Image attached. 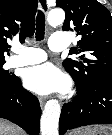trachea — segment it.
I'll return each mask as SVG.
<instances>
[{
  "label": "trachea",
  "mask_w": 112,
  "mask_h": 135,
  "mask_svg": "<svg viewBox=\"0 0 112 135\" xmlns=\"http://www.w3.org/2000/svg\"><path fill=\"white\" fill-rule=\"evenodd\" d=\"M45 34V17L42 11L38 12L36 18V41H42Z\"/></svg>",
  "instance_id": "obj_1"
}]
</instances>
